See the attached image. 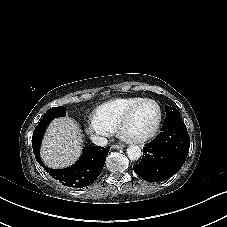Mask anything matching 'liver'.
Listing matches in <instances>:
<instances>
[{
	"instance_id": "1",
	"label": "liver",
	"mask_w": 227,
	"mask_h": 227,
	"mask_svg": "<svg viewBox=\"0 0 227 227\" xmlns=\"http://www.w3.org/2000/svg\"><path fill=\"white\" fill-rule=\"evenodd\" d=\"M82 135L71 118H57L46 129L40 157L45 165L60 169L74 164L82 153Z\"/></svg>"
}]
</instances>
